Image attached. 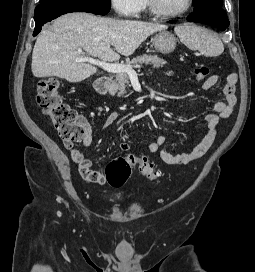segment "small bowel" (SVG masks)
<instances>
[{"mask_svg": "<svg viewBox=\"0 0 255 272\" xmlns=\"http://www.w3.org/2000/svg\"><path fill=\"white\" fill-rule=\"evenodd\" d=\"M171 75L172 72H169ZM219 75H210L202 84V89L208 90L215 86L219 82ZM238 81V76L235 73H231L226 78V83L223 88L224 101L216 102L213 105L214 112L208 113L205 116V121L208 125V129L201 139V141L190 151L186 153H171L162 148L166 141V137L163 134H159L156 139L149 144L148 151L150 153H158L161 160L170 165H185L194 160L201 158L212 146L219 130V123L221 119L228 118L237 103V97L235 94V86ZM120 114L118 112L109 113L103 120L101 127L106 128L113 124ZM85 136L83 139V145L89 148L93 143V130L92 127L84 123ZM65 147L70 151L71 159L78 165V171L82 178L91 184L104 185L106 183V176L95 169H93V163L90 159L86 158L83 153L74 147L72 144L65 143ZM119 148L122 151H128L130 145L126 141H122L119 144Z\"/></svg>", "mask_w": 255, "mask_h": 272, "instance_id": "small-bowel-1", "label": "small bowel"}]
</instances>
